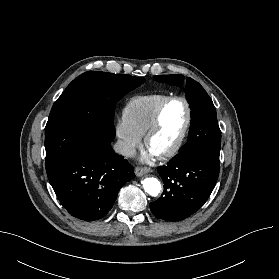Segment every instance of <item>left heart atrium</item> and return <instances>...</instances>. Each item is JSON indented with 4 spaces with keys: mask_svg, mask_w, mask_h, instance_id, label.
<instances>
[{
    "mask_svg": "<svg viewBox=\"0 0 279 279\" xmlns=\"http://www.w3.org/2000/svg\"><path fill=\"white\" fill-rule=\"evenodd\" d=\"M150 155H156L153 151L150 150Z\"/></svg>",
    "mask_w": 279,
    "mask_h": 279,
    "instance_id": "left-heart-atrium-1",
    "label": "left heart atrium"
}]
</instances>
